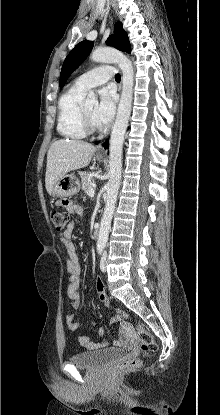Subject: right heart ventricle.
<instances>
[{"label":"right heart ventricle","instance_id":"1","mask_svg":"<svg viewBox=\"0 0 220 415\" xmlns=\"http://www.w3.org/2000/svg\"><path fill=\"white\" fill-rule=\"evenodd\" d=\"M85 91L75 86L67 89L59 98L57 131L68 139H83L86 136L80 119V109Z\"/></svg>","mask_w":220,"mask_h":415}]
</instances>
